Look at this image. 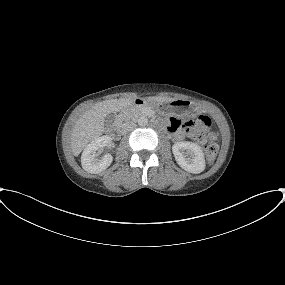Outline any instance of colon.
I'll return each mask as SVG.
<instances>
[{"mask_svg":"<svg viewBox=\"0 0 285 285\" xmlns=\"http://www.w3.org/2000/svg\"><path fill=\"white\" fill-rule=\"evenodd\" d=\"M188 133L204 144L207 161L213 162L218 152V140L214 135L206 134L205 131L210 125L207 116L202 115L195 120H187L184 123Z\"/></svg>","mask_w":285,"mask_h":285,"instance_id":"colon-1","label":"colon"}]
</instances>
